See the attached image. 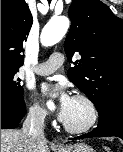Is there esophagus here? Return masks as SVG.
<instances>
[{"label":"esophagus","instance_id":"1","mask_svg":"<svg viewBox=\"0 0 123 152\" xmlns=\"http://www.w3.org/2000/svg\"><path fill=\"white\" fill-rule=\"evenodd\" d=\"M55 145H57V146L59 145V142H58V141H56V140H55Z\"/></svg>","mask_w":123,"mask_h":152}]
</instances>
